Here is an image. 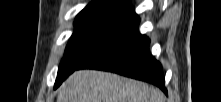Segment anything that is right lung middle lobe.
<instances>
[{"instance_id":"obj_1","label":"right lung middle lobe","mask_w":221,"mask_h":102,"mask_svg":"<svg viewBox=\"0 0 221 102\" xmlns=\"http://www.w3.org/2000/svg\"><path fill=\"white\" fill-rule=\"evenodd\" d=\"M138 20L134 10L129 8L107 4H92L84 8L75 19V30L59 66L56 82L67 78L84 61Z\"/></svg>"}]
</instances>
